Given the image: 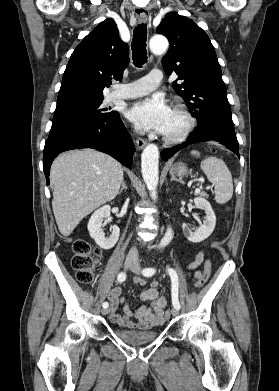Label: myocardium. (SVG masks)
Listing matches in <instances>:
<instances>
[{
    "instance_id": "1",
    "label": "myocardium",
    "mask_w": 279,
    "mask_h": 391,
    "mask_svg": "<svg viewBox=\"0 0 279 391\" xmlns=\"http://www.w3.org/2000/svg\"><path fill=\"white\" fill-rule=\"evenodd\" d=\"M172 111L180 114L184 120H185V126L184 128L175 135H162V140L167 144H177L182 141H184L192 132L193 128L195 127V118L191 114V112L188 110V108L181 104L176 103L171 108Z\"/></svg>"
}]
</instances>
